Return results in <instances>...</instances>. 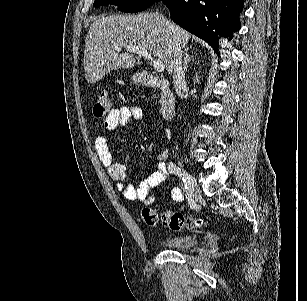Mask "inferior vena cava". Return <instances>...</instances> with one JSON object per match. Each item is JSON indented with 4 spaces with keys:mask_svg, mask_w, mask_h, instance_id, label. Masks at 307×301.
<instances>
[{
    "mask_svg": "<svg viewBox=\"0 0 307 301\" xmlns=\"http://www.w3.org/2000/svg\"><path fill=\"white\" fill-rule=\"evenodd\" d=\"M162 16V14H161ZM167 24L172 32V34H177L176 28H174L171 22ZM172 60V68H173V84L174 88L178 94V96H183V88L186 84L185 76H184V68L182 64V50L180 44H175L173 48V54L171 56Z\"/></svg>",
    "mask_w": 307,
    "mask_h": 301,
    "instance_id": "obj_1",
    "label": "inferior vena cava"
}]
</instances>
